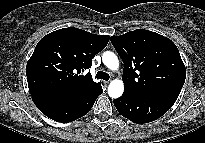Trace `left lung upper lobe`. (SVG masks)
I'll use <instances>...</instances> for the list:
<instances>
[{"label":"left lung upper lobe","mask_w":205,"mask_h":143,"mask_svg":"<svg viewBox=\"0 0 205 143\" xmlns=\"http://www.w3.org/2000/svg\"><path fill=\"white\" fill-rule=\"evenodd\" d=\"M124 63V93L144 96L168 90L181 91L186 68L176 45L152 31L137 29L111 36Z\"/></svg>","instance_id":"5c2ea615"}]
</instances>
